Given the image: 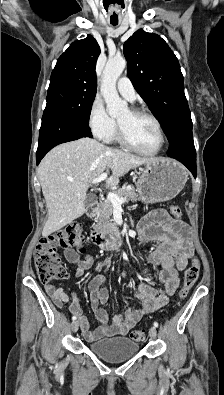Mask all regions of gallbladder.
Returning <instances> with one entry per match:
<instances>
[{"label":"gallbladder","instance_id":"obj_1","mask_svg":"<svg viewBox=\"0 0 224 395\" xmlns=\"http://www.w3.org/2000/svg\"><path fill=\"white\" fill-rule=\"evenodd\" d=\"M95 196L93 194H88L85 199V207L90 206L95 201Z\"/></svg>","mask_w":224,"mask_h":395}]
</instances>
